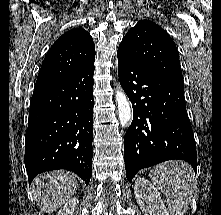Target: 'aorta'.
<instances>
[{
    "mask_svg": "<svg viewBox=\"0 0 221 215\" xmlns=\"http://www.w3.org/2000/svg\"><path fill=\"white\" fill-rule=\"evenodd\" d=\"M115 101L118 107V115L121 126H126L132 118V110L130 102L124 91L118 87L115 95Z\"/></svg>",
    "mask_w": 221,
    "mask_h": 215,
    "instance_id": "aorta-1",
    "label": "aorta"
}]
</instances>
